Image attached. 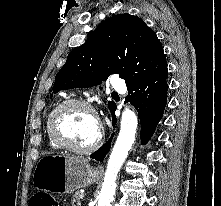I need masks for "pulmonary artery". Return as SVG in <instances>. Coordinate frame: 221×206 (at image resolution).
<instances>
[{
    "instance_id": "pulmonary-artery-1",
    "label": "pulmonary artery",
    "mask_w": 221,
    "mask_h": 206,
    "mask_svg": "<svg viewBox=\"0 0 221 206\" xmlns=\"http://www.w3.org/2000/svg\"><path fill=\"white\" fill-rule=\"evenodd\" d=\"M111 86L119 92H123L125 90L124 81L117 76L111 79Z\"/></svg>"
}]
</instances>
